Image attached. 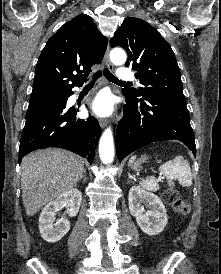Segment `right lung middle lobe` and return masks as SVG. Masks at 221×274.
I'll return each instance as SVG.
<instances>
[{
	"label": "right lung middle lobe",
	"mask_w": 221,
	"mask_h": 274,
	"mask_svg": "<svg viewBox=\"0 0 221 274\" xmlns=\"http://www.w3.org/2000/svg\"><path fill=\"white\" fill-rule=\"evenodd\" d=\"M63 97H65V95L55 96V97L46 98V99H41V100L30 101V104L44 103V102H48V101H51V100H54V99L63 98ZM30 104H29V105H30Z\"/></svg>",
	"instance_id": "dd1d6c3e"
}]
</instances>
